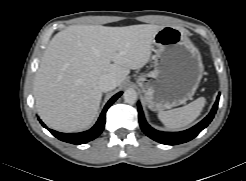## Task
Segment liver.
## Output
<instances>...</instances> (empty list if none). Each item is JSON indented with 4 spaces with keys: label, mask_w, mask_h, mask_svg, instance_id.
Returning a JSON list of instances; mask_svg holds the SVG:
<instances>
[{
    "label": "liver",
    "mask_w": 246,
    "mask_h": 181,
    "mask_svg": "<svg viewBox=\"0 0 246 181\" xmlns=\"http://www.w3.org/2000/svg\"><path fill=\"white\" fill-rule=\"evenodd\" d=\"M163 26L72 25L50 41L35 75V106L52 129L75 132L97 115L102 91L98 80L110 74L116 87L131 69L145 66L155 34Z\"/></svg>",
    "instance_id": "obj_1"
}]
</instances>
